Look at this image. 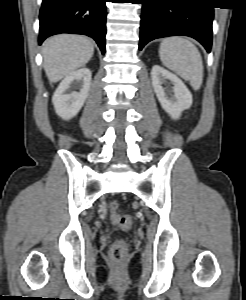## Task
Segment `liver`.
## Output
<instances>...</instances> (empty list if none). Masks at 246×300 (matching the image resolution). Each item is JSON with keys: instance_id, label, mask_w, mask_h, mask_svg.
Here are the masks:
<instances>
[{"instance_id": "obj_1", "label": "liver", "mask_w": 246, "mask_h": 300, "mask_svg": "<svg viewBox=\"0 0 246 300\" xmlns=\"http://www.w3.org/2000/svg\"><path fill=\"white\" fill-rule=\"evenodd\" d=\"M94 46L90 39L70 34L47 39L42 48L43 66L50 83L57 82L90 61Z\"/></svg>"}]
</instances>
